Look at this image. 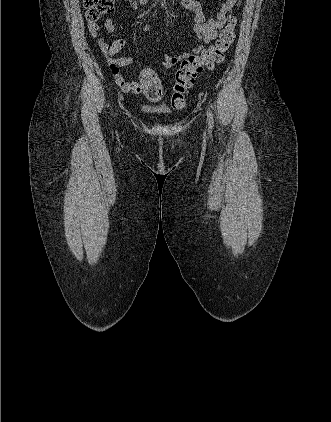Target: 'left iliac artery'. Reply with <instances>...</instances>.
<instances>
[{
    "label": "left iliac artery",
    "mask_w": 331,
    "mask_h": 422,
    "mask_svg": "<svg viewBox=\"0 0 331 422\" xmlns=\"http://www.w3.org/2000/svg\"><path fill=\"white\" fill-rule=\"evenodd\" d=\"M207 118H208L209 127L212 128L213 127V115H212V112H211L210 109H208Z\"/></svg>",
    "instance_id": "44dca946"
}]
</instances>
